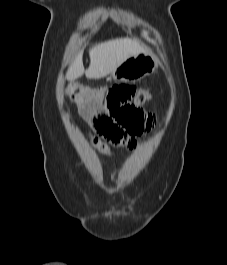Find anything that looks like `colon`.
Returning a JSON list of instances; mask_svg holds the SVG:
<instances>
[{
    "mask_svg": "<svg viewBox=\"0 0 227 265\" xmlns=\"http://www.w3.org/2000/svg\"><path fill=\"white\" fill-rule=\"evenodd\" d=\"M67 94L78 102L104 99L107 115L130 135H141L154 124L153 115L142 110V106L152 98L148 90L123 83L113 84L108 88L71 83L67 87Z\"/></svg>",
    "mask_w": 227,
    "mask_h": 265,
    "instance_id": "5ec220e1",
    "label": "colon"
}]
</instances>
